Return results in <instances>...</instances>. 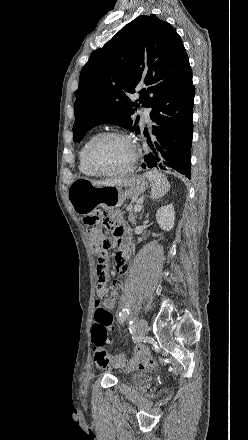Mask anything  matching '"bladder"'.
<instances>
[{"label":"bladder","mask_w":248,"mask_h":440,"mask_svg":"<svg viewBox=\"0 0 248 440\" xmlns=\"http://www.w3.org/2000/svg\"><path fill=\"white\" fill-rule=\"evenodd\" d=\"M131 378L136 382H141L146 378V374L142 371H134L131 374Z\"/></svg>","instance_id":"31cf9c89"}]
</instances>
